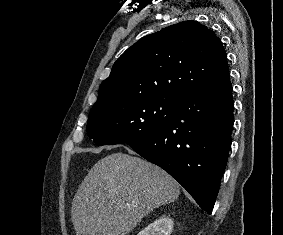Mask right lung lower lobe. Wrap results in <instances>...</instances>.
Instances as JSON below:
<instances>
[{"instance_id": "obj_1", "label": "right lung lower lobe", "mask_w": 283, "mask_h": 235, "mask_svg": "<svg viewBox=\"0 0 283 235\" xmlns=\"http://www.w3.org/2000/svg\"><path fill=\"white\" fill-rule=\"evenodd\" d=\"M233 110L228 78L180 97L165 125L128 144L174 177L211 214L231 146Z\"/></svg>"}]
</instances>
